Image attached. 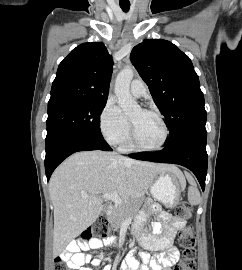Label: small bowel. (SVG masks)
I'll return each instance as SVG.
<instances>
[{
    "label": "small bowel",
    "mask_w": 242,
    "mask_h": 270,
    "mask_svg": "<svg viewBox=\"0 0 242 270\" xmlns=\"http://www.w3.org/2000/svg\"><path fill=\"white\" fill-rule=\"evenodd\" d=\"M151 211L157 215V221L151 222V233L140 235L139 243L144 249L158 253L154 259H151L147 252H140L139 259L145 264L142 267L139 260L132 253H129L121 264L122 270H172L171 268L179 261L180 253L174 245V238L176 232L184 228L185 221L169 213L160 212L156 206L151 207ZM146 221L147 214L145 212L140 213L135 220V231H139ZM113 242L112 239L72 242L61 253V258L70 270H93V267L100 265L101 260L100 258H93L85 251L100 249L111 245ZM111 269V265L104 268V270Z\"/></svg>",
    "instance_id": "obj_1"
}]
</instances>
